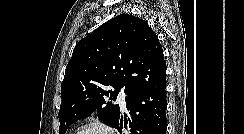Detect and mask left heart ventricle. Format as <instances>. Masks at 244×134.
<instances>
[{"instance_id": "left-heart-ventricle-1", "label": "left heart ventricle", "mask_w": 244, "mask_h": 134, "mask_svg": "<svg viewBox=\"0 0 244 134\" xmlns=\"http://www.w3.org/2000/svg\"><path fill=\"white\" fill-rule=\"evenodd\" d=\"M79 134H105L99 129L91 128V129H86Z\"/></svg>"}]
</instances>
